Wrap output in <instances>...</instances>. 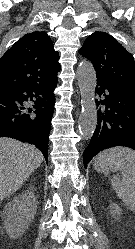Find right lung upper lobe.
I'll list each match as a JSON object with an SVG mask.
<instances>
[{
	"label": "right lung upper lobe",
	"mask_w": 135,
	"mask_h": 249,
	"mask_svg": "<svg viewBox=\"0 0 135 249\" xmlns=\"http://www.w3.org/2000/svg\"><path fill=\"white\" fill-rule=\"evenodd\" d=\"M58 60L46 32L26 34L0 58V89L49 82L60 70Z\"/></svg>",
	"instance_id": "cb5924a9"
}]
</instances>
